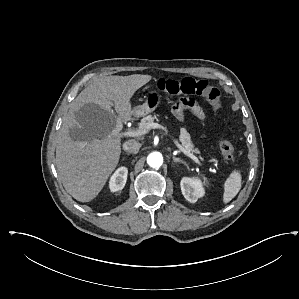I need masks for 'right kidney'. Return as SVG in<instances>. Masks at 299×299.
Here are the masks:
<instances>
[{"instance_id": "right-kidney-1", "label": "right kidney", "mask_w": 299, "mask_h": 299, "mask_svg": "<svg viewBox=\"0 0 299 299\" xmlns=\"http://www.w3.org/2000/svg\"><path fill=\"white\" fill-rule=\"evenodd\" d=\"M128 170L126 167L118 168L109 181L111 192L122 190L126 184Z\"/></svg>"}]
</instances>
